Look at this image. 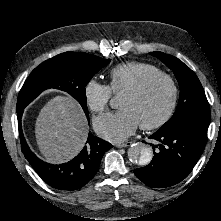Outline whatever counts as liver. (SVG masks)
Listing matches in <instances>:
<instances>
[{
  "label": "liver",
  "instance_id": "6515ba94",
  "mask_svg": "<svg viewBox=\"0 0 221 221\" xmlns=\"http://www.w3.org/2000/svg\"><path fill=\"white\" fill-rule=\"evenodd\" d=\"M88 135L86 116L69 96H56L41 109L35 123L40 152L49 163H64L83 148Z\"/></svg>",
  "mask_w": 221,
  "mask_h": 221
}]
</instances>
